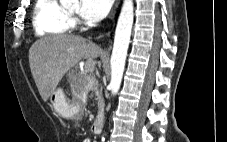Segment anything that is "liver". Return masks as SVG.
Instances as JSON below:
<instances>
[{
  "label": "liver",
  "instance_id": "6515ba94",
  "mask_svg": "<svg viewBox=\"0 0 227 142\" xmlns=\"http://www.w3.org/2000/svg\"><path fill=\"white\" fill-rule=\"evenodd\" d=\"M104 51L92 41L76 35H52L37 40L29 49L33 79L44 102L63 76L83 58L87 64Z\"/></svg>",
  "mask_w": 227,
  "mask_h": 142
}]
</instances>
